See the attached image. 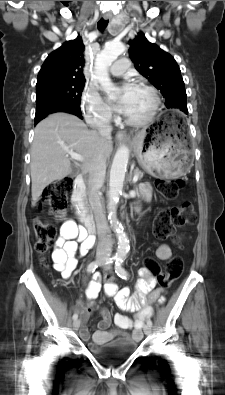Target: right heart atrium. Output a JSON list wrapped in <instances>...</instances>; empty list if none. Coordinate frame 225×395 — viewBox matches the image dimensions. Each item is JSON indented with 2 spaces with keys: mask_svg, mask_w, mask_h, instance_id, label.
<instances>
[{
  "mask_svg": "<svg viewBox=\"0 0 225 395\" xmlns=\"http://www.w3.org/2000/svg\"><path fill=\"white\" fill-rule=\"evenodd\" d=\"M82 111L88 123L93 125L108 124L112 113L99 93L92 86H86L82 94Z\"/></svg>",
  "mask_w": 225,
  "mask_h": 395,
  "instance_id": "1",
  "label": "right heart atrium"
}]
</instances>
